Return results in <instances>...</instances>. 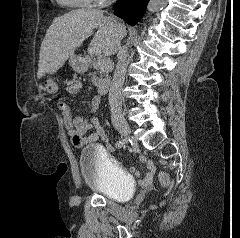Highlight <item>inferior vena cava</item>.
<instances>
[{"mask_svg":"<svg viewBox=\"0 0 240 238\" xmlns=\"http://www.w3.org/2000/svg\"><path fill=\"white\" fill-rule=\"evenodd\" d=\"M127 48L124 47L118 55V63L114 72L113 80L109 90V104L113 118L121 117L122 97L121 90L129 61L127 60Z\"/></svg>","mask_w":240,"mask_h":238,"instance_id":"obj_1","label":"inferior vena cava"}]
</instances>
